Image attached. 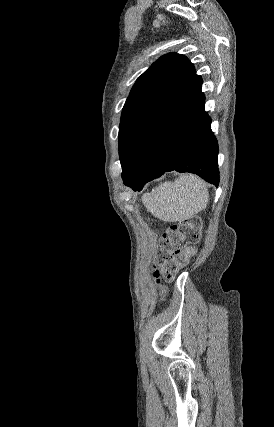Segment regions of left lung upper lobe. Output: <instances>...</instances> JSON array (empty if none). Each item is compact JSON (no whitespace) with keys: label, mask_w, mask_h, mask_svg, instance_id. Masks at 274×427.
Wrapping results in <instances>:
<instances>
[{"label":"left lung upper lobe","mask_w":274,"mask_h":427,"mask_svg":"<svg viewBox=\"0 0 274 427\" xmlns=\"http://www.w3.org/2000/svg\"><path fill=\"white\" fill-rule=\"evenodd\" d=\"M196 77L193 64L185 56L170 53L137 79L123 107L119 126L122 176L132 168L151 126Z\"/></svg>","instance_id":"left-lung-upper-lobe-1"}]
</instances>
